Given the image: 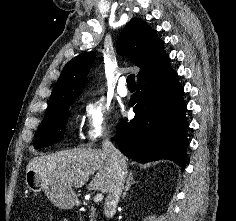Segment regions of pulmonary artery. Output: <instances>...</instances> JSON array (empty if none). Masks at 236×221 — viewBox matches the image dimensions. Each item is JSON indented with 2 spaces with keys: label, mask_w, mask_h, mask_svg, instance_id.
<instances>
[{
  "label": "pulmonary artery",
  "mask_w": 236,
  "mask_h": 221,
  "mask_svg": "<svg viewBox=\"0 0 236 221\" xmlns=\"http://www.w3.org/2000/svg\"><path fill=\"white\" fill-rule=\"evenodd\" d=\"M126 80H127L126 77H121L117 87V92L122 97L127 96L129 93L128 88L125 86Z\"/></svg>",
  "instance_id": "e3ab8cb5"
}]
</instances>
